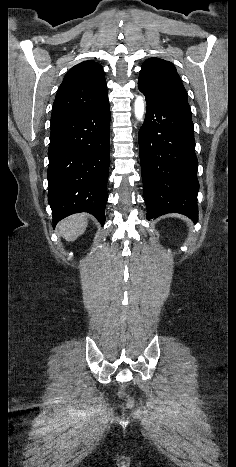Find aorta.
I'll use <instances>...</instances> for the list:
<instances>
[{
    "instance_id": "aorta-1",
    "label": "aorta",
    "mask_w": 236,
    "mask_h": 467,
    "mask_svg": "<svg viewBox=\"0 0 236 467\" xmlns=\"http://www.w3.org/2000/svg\"><path fill=\"white\" fill-rule=\"evenodd\" d=\"M134 113H135V117L139 121L143 120L144 113H145V103H144V99L142 96H138L135 100Z\"/></svg>"
}]
</instances>
